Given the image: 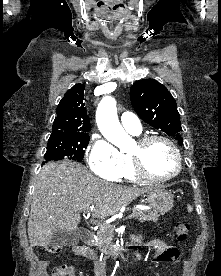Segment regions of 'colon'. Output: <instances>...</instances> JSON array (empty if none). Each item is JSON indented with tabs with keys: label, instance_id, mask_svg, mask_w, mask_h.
I'll use <instances>...</instances> for the list:
<instances>
[{
	"label": "colon",
	"instance_id": "obj_1",
	"mask_svg": "<svg viewBox=\"0 0 221 276\" xmlns=\"http://www.w3.org/2000/svg\"><path fill=\"white\" fill-rule=\"evenodd\" d=\"M189 231L190 225L187 222L177 221L173 225L174 236L179 242L187 239ZM45 250L50 253H57L61 248L59 246H46ZM52 276H73V273L68 266L62 265L54 269Z\"/></svg>",
	"mask_w": 221,
	"mask_h": 276
}]
</instances>
